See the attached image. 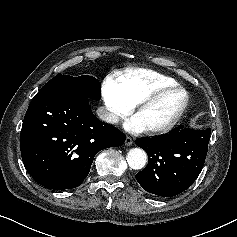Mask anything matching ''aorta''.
Listing matches in <instances>:
<instances>
[{
	"instance_id": "762f6f07",
	"label": "aorta",
	"mask_w": 237,
	"mask_h": 237,
	"mask_svg": "<svg viewBox=\"0 0 237 237\" xmlns=\"http://www.w3.org/2000/svg\"><path fill=\"white\" fill-rule=\"evenodd\" d=\"M127 163L134 170L142 169L147 161L146 152L140 148H133L127 154Z\"/></svg>"
}]
</instances>
